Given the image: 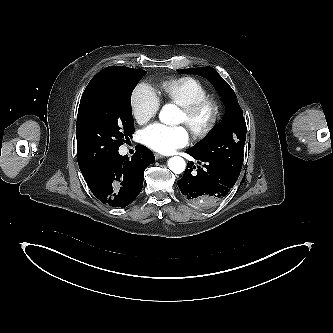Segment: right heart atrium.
Segmentation results:
<instances>
[{
	"mask_svg": "<svg viewBox=\"0 0 333 333\" xmlns=\"http://www.w3.org/2000/svg\"><path fill=\"white\" fill-rule=\"evenodd\" d=\"M159 107L160 100L148 84L142 83L135 88L131 97V109L139 123H145L153 118Z\"/></svg>",
	"mask_w": 333,
	"mask_h": 333,
	"instance_id": "1",
	"label": "right heart atrium"
}]
</instances>
